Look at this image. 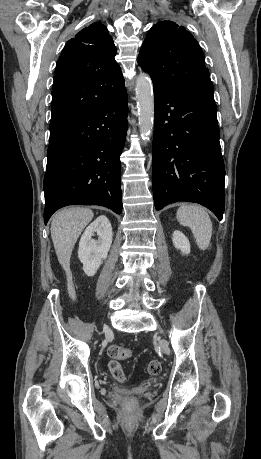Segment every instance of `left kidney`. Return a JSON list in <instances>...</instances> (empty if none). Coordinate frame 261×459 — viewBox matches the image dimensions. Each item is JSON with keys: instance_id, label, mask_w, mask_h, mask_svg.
<instances>
[{"instance_id": "5707ae66", "label": "left kidney", "mask_w": 261, "mask_h": 459, "mask_svg": "<svg viewBox=\"0 0 261 459\" xmlns=\"http://www.w3.org/2000/svg\"><path fill=\"white\" fill-rule=\"evenodd\" d=\"M172 241L175 248L179 249L183 254L187 255L190 253L189 240L182 232L178 230L174 231Z\"/></svg>"}]
</instances>
